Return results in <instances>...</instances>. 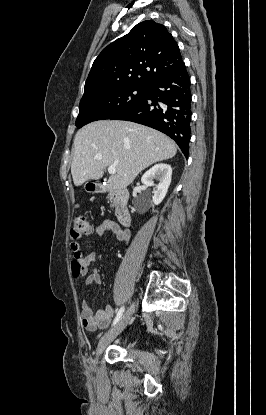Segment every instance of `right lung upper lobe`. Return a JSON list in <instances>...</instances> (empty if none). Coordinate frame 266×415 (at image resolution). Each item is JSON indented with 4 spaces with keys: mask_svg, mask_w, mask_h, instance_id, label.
I'll return each mask as SVG.
<instances>
[{
    "mask_svg": "<svg viewBox=\"0 0 266 415\" xmlns=\"http://www.w3.org/2000/svg\"><path fill=\"white\" fill-rule=\"evenodd\" d=\"M185 64L166 27L154 21L137 24L95 59L82 98L122 86L147 87Z\"/></svg>",
    "mask_w": 266,
    "mask_h": 415,
    "instance_id": "obj_1",
    "label": "right lung upper lobe"
}]
</instances>
